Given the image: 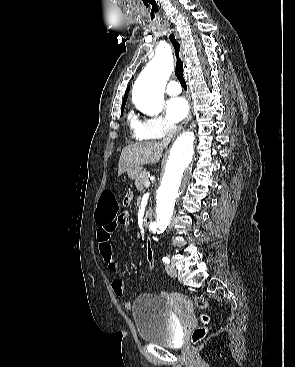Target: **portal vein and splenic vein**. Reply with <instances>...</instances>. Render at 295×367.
<instances>
[{"label":"portal vein and splenic vein","mask_w":295,"mask_h":367,"mask_svg":"<svg viewBox=\"0 0 295 367\" xmlns=\"http://www.w3.org/2000/svg\"><path fill=\"white\" fill-rule=\"evenodd\" d=\"M144 185H145L146 188H148L150 186V182L146 181Z\"/></svg>","instance_id":"portal-vein-and-splenic-vein-1"}]
</instances>
